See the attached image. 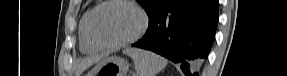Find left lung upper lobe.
I'll return each instance as SVG.
<instances>
[{"instance_id": "left-lung-upper-lobe-1", "label": "left lung upper lobe", "mask_w": 287, "mask_h": 76, "mask_svg": "<svg viewBox=\"0 0 287 76\" xmlns=\"http://www.w3.org/2000/svg\"><path fill=\"white\" fill-rule=\"evenodd\" d=\"M166 1L167 0H137L148 15H150L158 6L162 5Z\"/></svg>"}]
</instances>
